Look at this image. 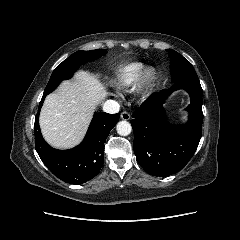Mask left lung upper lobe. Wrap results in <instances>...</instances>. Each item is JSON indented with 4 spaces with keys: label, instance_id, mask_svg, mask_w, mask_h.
<instances>
[{
    "label": "left lung upper lobe",
    "instance_id": "1",
    "mask_svg": "<svg viewBox=\"0 0 240 240\" xmlns=\"http://www.w3.org/2000/svg\"><path fill=\"white\" fill-rule=\"evenodd\" d=\"M167 52L169 53L171 61L170 71L173 83L199 82V78L192 64L187 59L174 50L167 49Z\"/></svg>",
    "mask_w": 240,
    "mask_h": 240
}]
</instances>
